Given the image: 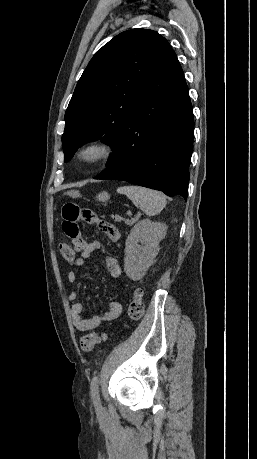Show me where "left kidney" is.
Instances as JSON below:
<instances>
[{"instance_id":"obj_1","label":"left kidney","mask_w":257,"mask_h":459,"mask_svg":"<svg viewBox=\"0 0 257 459\" xmlns=\"http://www.w3.org/2000/svg\"><path fill=\"white\" fill-rule=\"evenodd\" d=\"M166 230L165 223L150 219L139 221L131 229L124 258V270L130 279L138 281L145 275L159 252V242L165 237Z\"/></svg>"}]
</instances>
